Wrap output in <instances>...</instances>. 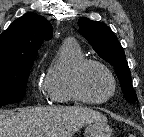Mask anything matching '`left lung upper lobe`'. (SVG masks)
<instances>
[{
    "mask_svg": "<svg viewBox=\"0 0 144 137\" xmlns=\"http://www.w3.org/2000/svg\"><path fill=\"white\" fill-rule=\"evenodd\" d=\"M78 25L82 36L88 40L98 55L115 67L127 101L136 102L137 96L133 89L124 50L111 29L102 22L92 21L86 17L80 18Z\"/></svg>",
    "mask_w": 144,
    "mask_h": 137,
    "instance_id": "1",
    "label": "left lung upper lobe"
}]
</instances>
